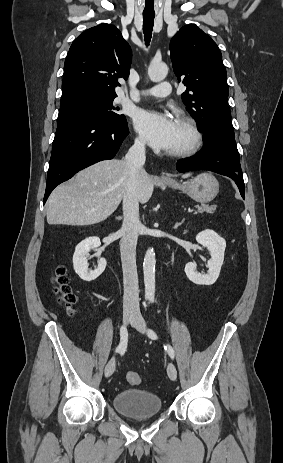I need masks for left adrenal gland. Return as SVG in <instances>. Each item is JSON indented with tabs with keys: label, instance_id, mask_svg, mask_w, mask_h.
<instances>
[{
	"label": "left adrenal gland",
	"instance_id": "1",
	"mask_svg": "<svg viewBox=\"0 0 283 463\" xmlns=\"http://www.w3.org/2000/svg\"><path fill=\"white\" fill-rule=\"evenodd\" d=\"M184 223V219H182L181 222H177L174 226V229H177L179 226H181Z\"/></svg>",
	"mask_w": 283,
	"mask_h": 463
}]
</instances>
